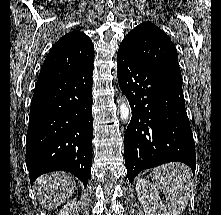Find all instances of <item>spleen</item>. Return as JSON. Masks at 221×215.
Masks as SVG:
<instances>
[{
    "instance_id": "obj_1",
    "label": "spleen",
    "mask_w": 221,
    "mask_h": 215,
    "mask_svg": "<svg viewBox=\"0 0 221 215\" xmlns=\"http://www.w3.org/2000/svg\"><path fill=\"white\" fill-rule=\"evenodd\" d=\"M150 176L165 195L170 215H181L195 188L190 168L183 163H168L155 168Z\"/></svg>"
}]
</instances>
